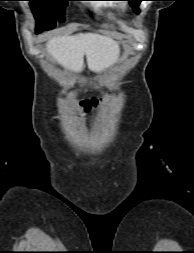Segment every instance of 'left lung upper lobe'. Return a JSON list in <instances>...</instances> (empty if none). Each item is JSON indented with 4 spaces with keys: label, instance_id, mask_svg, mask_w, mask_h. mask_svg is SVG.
Masks as SVG:
<instances>
[{
    "label": "left lung upper lobe",
    "instance_id": "left-lung-upper-lobe-1",
    "mask_svg": "<svg viewBox=\"0 0 194 253\" xmlns=\"http://www.w3.org/2000/svg\"><path fill=\"white\" fill-rule=\"evenodd\" d=\"M129 2L130 6L137 12L139 13L138 11V6L140 4L141 1H146V0H126Z\"/></svg>",
    "mask_w": 194,
    "mask_h": 253
}]
</instances>
